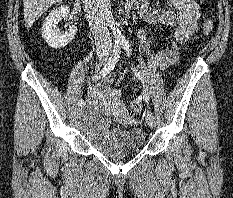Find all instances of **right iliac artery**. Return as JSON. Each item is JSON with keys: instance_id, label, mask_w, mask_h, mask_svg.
I'll use <instances>...</instances> for the list:
<instances>
[{"instance_id": "1", "label": "right iliac artery", "mask_w": 233, "mask_h": 198, "mask_svg": "<svg viewBox=\"0 0 233 198\" xmlns=\"http://www.w3.org/2000/svg\"><path fill=\"white\" fill-rule=\"evenodd\" d=\"M120 52H121V46L117 42L113 46L112 55L110 56L108 62L104 65V67L101 69L100 72L97 71V73L92 76V80H98V79L103 78L106 75H108L114 69V67L119 59ZM98 69H99V67H98ZM83 103H84L83 99H80L78 101L79 106H81Z\"/></svg>"}]
</instances>
